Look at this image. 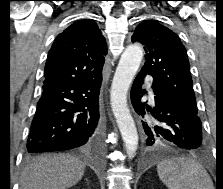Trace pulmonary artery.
I'll return each mask as SVG.
<instances>
[{
  "mask_svg": "<svg viewBox=\"0 0 223 189\" xmlns=\"http://www.w3.org/2000/svg\"><path fill=\"white\" fill-rule=\"evenodd\" d=\"M150 96L153 98V93H152V91H150Z\"/></svg>",
  "mask_w": 223,
  "mask_h": 189,
  "instance_id": "obj_1",
  "label": "pulmonary artery"
}]
</instances>
